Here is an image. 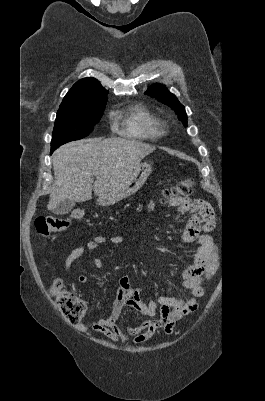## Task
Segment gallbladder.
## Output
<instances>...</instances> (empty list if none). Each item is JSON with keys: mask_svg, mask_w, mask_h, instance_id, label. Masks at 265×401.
Here are the masks:
<instances>
[{"mask_svg": "<svg viewBox=\"0 0 265 401\" xmlns=\"http://www.w3.org/2000/svg\"><path fill=\"white\" fill-rule=\"evenodd\" d=\"M73 207H75V201H70V198H65V201H62L55 209H52V213H54V215H67Z\"/></svg>", "mask_w": 265, "mask_h": 401, "instance_id": "1", "label": "gallbladder"}]
</instances>
